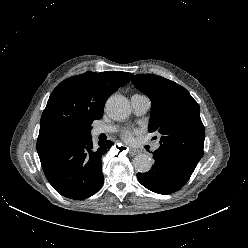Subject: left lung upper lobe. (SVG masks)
<instances>
[{"label": "left lung upper lobe", "instance_id": "left-lung-upper-lobe-1", "mask_svg": "<svg viewBox=\"0 0 248 248\" xmlns=\"http://www.w3.org/2000/svg\"><path fill=\"white\" fill-rule=\"evenodd\" d=\"M132 82L151 100L149 131L162 135L159 150L195 169L205 139L198 103L184 87L161 76L138 74Z\"/></svg>", "mask_w": 248, "mask_h": 248}]
</instances>
